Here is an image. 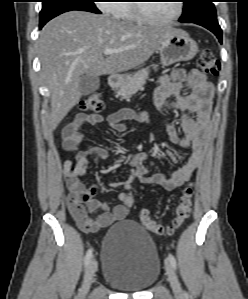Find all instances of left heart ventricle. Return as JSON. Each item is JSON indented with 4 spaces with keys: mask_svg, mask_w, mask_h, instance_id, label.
Returning <instances> with one entry per match:
<instances>
[{
    "mask_svg": "<svg viewBox=\"0 0 248 299\" xmlns=\"http://www.w3.org/2000/svg\"><path fill=\"white\" fill-rule=\"evenodd\" d=\"M143 4L146 13L158 19H165L173 16L177 7L176 1H154Z\"/></svg>",
    "mask_w": 248,
    "mask_h": 299,
    "instance_id": "left-heart-ventricle-1",
    "label": "left heart ventricle"
}]
</instances>
